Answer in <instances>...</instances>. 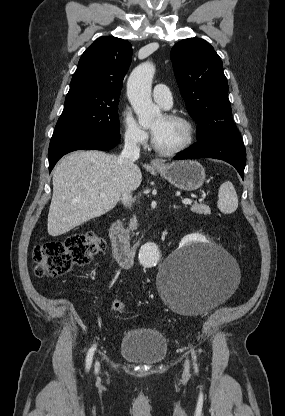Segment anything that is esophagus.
<instances>
[{"instance_id": "obj_1", "label": "esophagus", "mask_w": 285, "mask_h": 416, "mask_svg": "<svg viewBox=\"0 0 285 416\" xmlns=\"http://www.w3.org/2000/svg\"><path fill=\"white\" fill-rule=\"evenodd\" d=\"M151 164L152 165H159L160 164V162L158 161V160H151Z\"/></svg>"}]
</instances>
